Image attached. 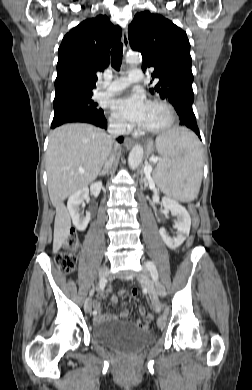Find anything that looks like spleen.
Segmentation results:
<instances>
[{"label": "spleen", "instance_id": "1", "mask_svg": "<svg viewBox=\"0 0 252 390\" xmlns=\"http://www.w3.org/2000/svg\"><path fill=\"white\" fill-rule=\"evenodd\" d=\"M156 148L162 156L153 173L157 187L175 200H195L203 175V153L195 134L174 128L156 139Z\"/></svg>", "mask_w": 252, "mask_h": 390}]
</instances>
